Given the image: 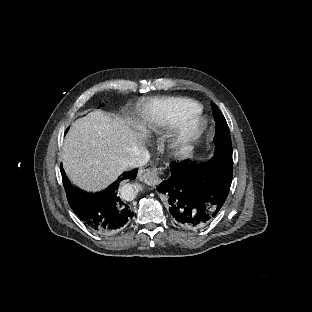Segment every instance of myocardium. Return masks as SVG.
I'll use <instances>...</instances> for the list:
<instances>
[{"label":"myocardium","instance_id":"f54148a6","mask_svg":"<svg viewBox=\"0 0 312 312\" xmlns=\"http://www.w3.org/2000/svg\"><path fill=\"white\" fill-rule=\"evenodd\" d=\"M206 132L205 115L198 110L184 113L179 124L174 125L169 132L170 145L177 150H184L197 145Z\"/></svg>","mask_w":312,"mask_h":312}]
</instances>
